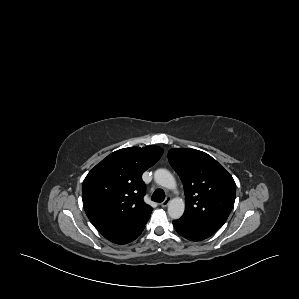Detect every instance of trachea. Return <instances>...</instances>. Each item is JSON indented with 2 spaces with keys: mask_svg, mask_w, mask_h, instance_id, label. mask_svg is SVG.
I'll list each match as a JSON object with an SVG mask.
<instances>
[{
  "mask_svg": "<svg viewBox=\"0 0 299 299\" xmlns=\"http://www.w3.org/2000/svg\"><path fill=\"white\" fill-rule=\"evenodd\" d=\"M165 199V194L162 190H156L153 194H152V200L155 202H162Z\"/></svg>",
  "mask_w": 299,
  "mask_h": 299,
  "instance_id": "obj_1",
  "label": "trachea"
}]
</instances>
